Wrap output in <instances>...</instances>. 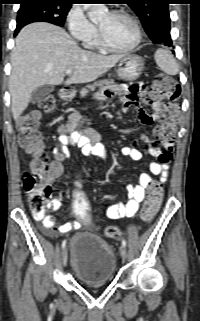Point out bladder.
Instances as JSON below:
<instances>
[{"mask_svg":"<svg viewBox=\"0 0 200 321\" xmlns=\"http://www.w3.org/2000/svg\"><path fill=\"white\" fill-rule=\"evenodd\" d=\"M69 246L70 266L81 282L98 284L112 280L116 257L106 241L88 232H77L71 237Z\"/></svg>","mask_w":200,"mask_h":321,"instance_id":"1","label":"bladder"}]
</instances>
